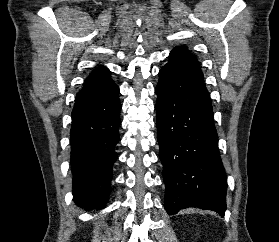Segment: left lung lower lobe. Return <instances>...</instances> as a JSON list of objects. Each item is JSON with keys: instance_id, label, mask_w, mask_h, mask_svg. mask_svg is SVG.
Masks as SVG:
<instances>
[{"instance_id": "left-lung-lower-lobe-1", "label": "left lung lower lobe", "mask_w": 279, "mask_h": 242, "mask_svg": "<svg viewBox=\"0 0 279 242\" xmlns=\"http://www.w3.org/2000/svg\"><path fill=\"white\" fill-rule=\"evenodd\" d=\"M157 129L169 215L187 207L226 210V174L211 99L199 65L172 51L159 71Z\"/></svg>"}]
</instances>
